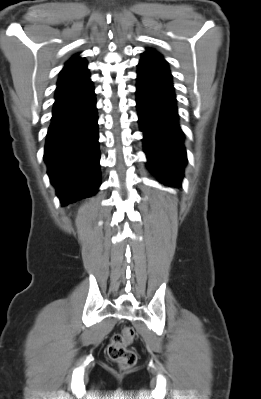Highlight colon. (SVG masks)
Returning a JSON list of instances; mask_svg holds the SVG:
<instances>
[{
    "label": "colon",
    "mask_w": 261,
    "mask_h": 399,
    "mask_svg": "<svg viewBox=\"0 0 261 399\" xmlns=\"http://www.w3.org/2000/svg\"><path fill=\"white\" fill-rule=\"evenodd\" d=\"M135 337V330L130 326H126L119 333L113 335L107 346L109 358L118 363L123 369L131 368L137 361L136 353L128 348Z\"/></svg>",
    "instance_id": "colon-1"
}]
</instances>
